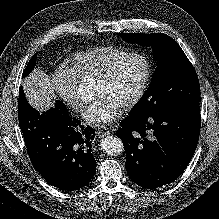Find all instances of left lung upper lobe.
<instances>
[{
	"instance_id": "obj_1",
	"label": "left lung upper lobe",
	"mask_w": 219,
	"mask_h": 219,
	"mask_svg": "<svg viewBox=\"0 0 219 219\" xmlns=\"http://www.w3.org/2000/svg\"><path fill=\"white\" fill-rule=\"evenodd\" d=\"M122 39L151 46L157 63L152 81L128 116L152 117L200 101L196 71L181 47L164 33L118 34Z\"/></svg>"
}]
</instances>
